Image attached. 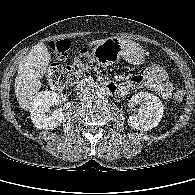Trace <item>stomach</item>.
Returning a JSON list of instances; mask_svg holds the SVG:
<instances>
[{"label":"stomach","mask_w":195,"mask_h":195,"mask_svg":"<svg viewBox=\"0 0 195 195\" xmlns=\"http://www.w3.org/2000/svg\"><path fill=\"white\" fill-rule=\"evenodd\" d=\"M121 58L133 65H140L144 60V51L133 41L115 37L104 39L92 51L93 61L100 66L116 64Z\"/></svg>","instance_id":"obj_1"}]
</instances>
